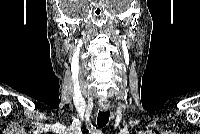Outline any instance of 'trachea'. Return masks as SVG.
<instances>
[{"label": "trachea", "instance_id": "trachea-1", "mask_svg": "<svg viewBox=\"0 0 200 134\" xmlns=\"http://www.w3.org/2000/svg\"><path fill=\"white\" fill-rule=\"evenodd\" d=\"M109 111H99L97 117V125L102 128L105 127L107 122L109 121Z\"/></svg>", "mask_w": 200, "mask_h": 134}]
</instances>
